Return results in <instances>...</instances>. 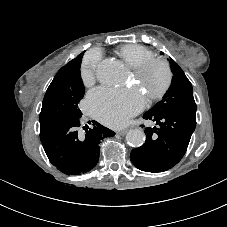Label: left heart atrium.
Returning <instances> with one entry per match:
<instances>
[{
  "mask_svg": "<svg viewBox=\"0 0 227 227\" xmlns=\"http://www.w3.org/2000/svg\"><path fill=\"white\" fill-rule=\"evenodd\" d=\"M145 104L144 96L132 90L96 88L86 100L92 116L110 127H120L139 113Z\"/></svg>",
  "mask_w": 227,
  "mask_h": 227,
  "instance_id": "1",
  "label": "left heart atrium"
}]
</instances>
